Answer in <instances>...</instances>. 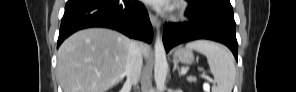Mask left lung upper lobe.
Masks as SVG:
<instances>
[{"label": "left lung upper lobe", "instance_id": "5c2ea615", "mask_svg": "<svg viewBox=\"0 0 296 92\" xmlns=\"http://www.w3.org/2000/svg\"><path fill=\"white\" fill-rule=\"evenodd\" d=\"M193 2H208V3H214V2H226L230 3V0H188Z\"/></svg>", "mask_w": 296, "mask_h": 92}]
</instances>
